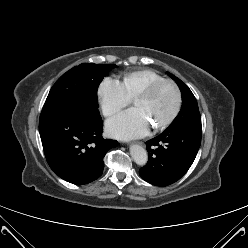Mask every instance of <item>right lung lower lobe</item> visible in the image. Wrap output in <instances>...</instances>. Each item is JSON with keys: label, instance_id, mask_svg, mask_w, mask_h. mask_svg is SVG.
Segmentation results:
<instances>
[{"label": "right lung lower lobe", "instance_id": "obj_1", "mask_svg": "<svg viewBox=\"0 0 248 248\" xmlns=\"http://www.w3.org/2000/svg\"><path fill=\"white\" fill-rule=\"evenodd\" d=\"M102 126L98 109L90 107L41 120L39 132L50 168L77 185L99 178L105 154L118 145L102 137Z\"/></svg>", "mask_w": 248, "mask_h": 248}]
</instances>
